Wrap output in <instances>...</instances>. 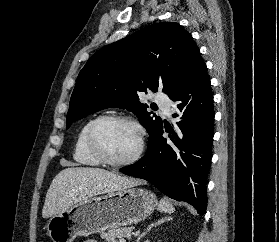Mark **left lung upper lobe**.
<instances>
[{"mask_svg": "<svg viewBox=\"0 0 279 242\" xmlns=\"http://www.w3.org/2000/svg\"><path fill=\"white\" fill-rule=\"evenodd\" d=\"M198 51L191 34L174 22L147 26L98 50L78 75L67 128L91 113L117 107L137 115L150 142L162 120L155 114L151 116L148 106L139 102L140 92H156L160 87L170 96Z\"/></svg>", "mask_w": 279, "mask_h": 242, "instance_id": "5c2ea615", "label": "left lung upper lobe"}]
</instances>
